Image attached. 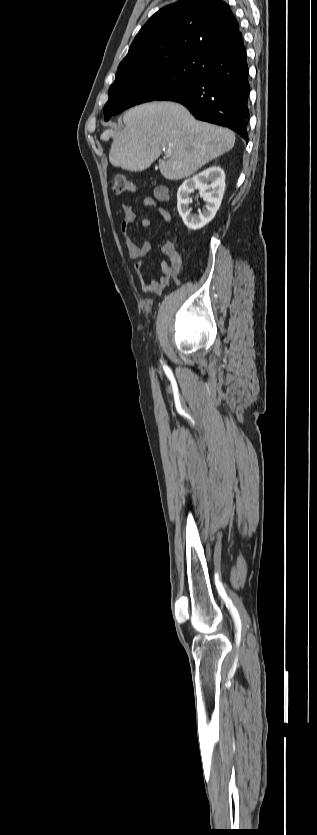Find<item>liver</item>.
I'll return each instance as SVG.
<instances>
[{
	"label": "liver",
	"mask_w": 317,
	"mask_h": 835,
	"mask_svg": "<svg viewBox=\"0 0 317 835\" xmlns=\"http://www.w3.org/2000/svg\"><path fill=\"white\" fill-rule=\"evenodd\" d=\"M123 122L121 132L107 129L100 136L105 142L113 139L111 164L142 171L166 150V158L159 159V170L168 180L189 177L235 143L231 130L197 121L184 106L169 101L133 107L124 114Z\"/></svg>",
	"instance_id": "liver-1"
}]
</instances>
